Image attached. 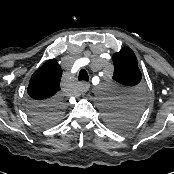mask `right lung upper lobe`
I'll use <instances>...</instances> for the list:
<instances>
[{"label":"right lung upper lobe","instance_id":"cb5924a9","mask_svg":"<svg viewBox=\"0 0 174 174\" xmlns=\"http://www.w3.org/2000/svg\"><path fill=\"white\" fill-rule=\"evenodd\" d=\"M62 70L55 59L46 61L32 75L27 92L33 102H47L59 97Z\"/></svg>","mask_w":174,"mask_h":174}]
</instances>
